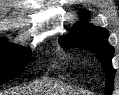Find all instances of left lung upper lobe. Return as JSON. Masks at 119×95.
<instances>
[{
  "label": "left lung upper lobe",
  "mask_w": 119,
  "mask_h": 95,
  "mask_svg": "<svg viewBox=\"0 0 119 95\" xmlns=\"http://www.w3.org/2000/svg\"><path fill=\"white\" fill-rule=\"evenodd\" d=\"M83 19L89 17L88 11L80 12ZM108 31L88 24L86 22H78L72 27V31L67 36L60 37L59 41L64 47H80L86 48L96 54L98 60L102 63L106 74V92L108 95L113 90V80L115 69L111 65L114 48L108 43Z\"/></svg>",
  "instance_id": "5c2ea615"
}]
</instances>
